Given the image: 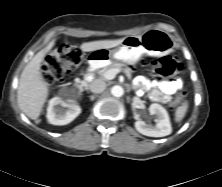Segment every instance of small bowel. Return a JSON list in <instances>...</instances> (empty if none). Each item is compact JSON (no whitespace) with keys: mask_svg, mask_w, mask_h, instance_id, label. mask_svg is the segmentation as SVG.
Listing matches in <instances>:
<instances>
[{"mask_svg":"<svg viewBox=\"0 0 222 187\" xmlns=\"http://www.w3.org/2000/svg\"><path fill=\"white\" fill-rule=\"evenodd\" d=\"M137 86L148 92L150 100L159 103H168L172 95L182 87L180 79H172L166 81H154L145 77L137 80Z\"/></svg>","mask_w":222,"mask_h":187,"instance_id":"c3829d8e","label":"small bowel"}]
</instances>
